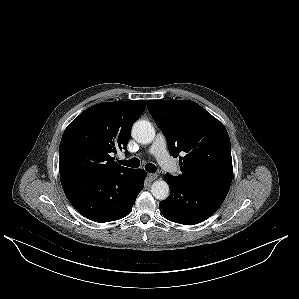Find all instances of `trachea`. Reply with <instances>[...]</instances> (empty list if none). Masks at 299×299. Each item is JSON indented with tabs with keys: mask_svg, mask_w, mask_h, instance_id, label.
<instances>
[{
	"mask_svg": "<svg viewBox=\"0 0 299 299\" xmlns=\"http://www.w3.org/2000/svg\"><path fill=\"white\" fill-rule=\"evenodd\" d=\"M118 163L121 165H124V166L132 167V168H137L140 166V160L137 158H132L127 161L118 160ZM145 169H146V171H148L150 173H154L157 168L154 164L148 163V164H146Z\"/></svg>",
	"mask_w": 299,
	"mask_h": 299,
	"instance_id": "1",
	"label": "trachea"
}]
</instances>
